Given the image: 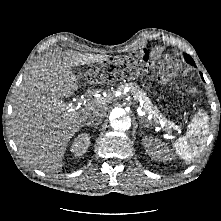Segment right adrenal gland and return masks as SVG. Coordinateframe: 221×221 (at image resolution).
Wrapping results in <instances>:
<instances>
[{"label":"right adrenal gland","instance_id":"right-adrenal-gland-1","mask_svg":"<svg viewBox=\"0 0 221 221\" xmlns=\"http://www.w3.org/2000/svg\"><path fill=\"white\" fill-rule=\"evenodd\" d=\"M86 125H87V126H92V125H89L88 123H86Z\"/></svg>","mask_w":221,"mask_h":221}]
</instances>
